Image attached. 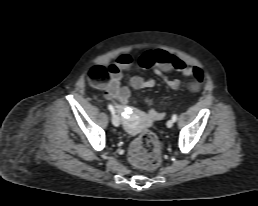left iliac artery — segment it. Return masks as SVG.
<instances>
[{"label": "left iliac artery", "mask_w": 258, "mask_h": 206, "mask_svg": "<svg viewBox=\"0 0 258 206\" xmlns=\"http://www.w3.org/2000/svg\"><path fill=\"white\" fill-rule=\"evenodd\" d=\"M172 120H173L174 122L177 120V115H176V114H174V115L172 116Z\"/></svg>", "instance_id": "44dca946"}]
</instances>
